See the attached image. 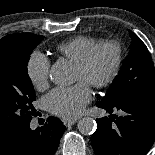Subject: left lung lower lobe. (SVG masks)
<instances>
[{
	"label": "left lung lower lobe",
	"mask_w": 155,
	"mask_h": 155,
	"mask_svg": "<svg viewBox=\"0 0 155 155\" xmlns=\"http://www.w3.org/2000/svg\"><path fill=\"white\" fill-rule=\"evenodd\" d=\"M109 113L121 109L125 116L103 117L91 145L96 155H146L155 141V87L137 90L113 103L100 102Z\"/></svg>",
	"instance_id": "1"
}]
</instances>
